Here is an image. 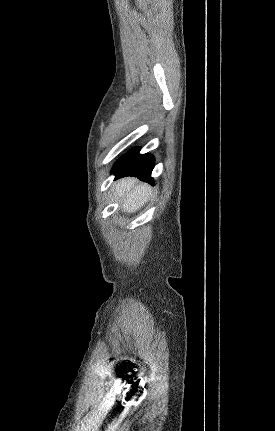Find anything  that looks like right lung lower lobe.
Returning <instances> with one entry per match:
<instances>
[{
    "mask_svg": "<svg viewBox=\"0 0 275 431\" xmlns=\"http://www.w3.org/2000/svg\"><path fill=\"white\" fill-rule=\"evenodd\" d=\"M154 165L151 154H139V149H133L116 162L111 173H115V179L137 176L140 180L153 184L151 172Z\"/></svg>",
    "mask_w": 275,
    "mask_h": 431,
    "instance_id": "right-lung-lower-lobe-1",
    "label": "right lung lower lobe"
}]
</instances>
